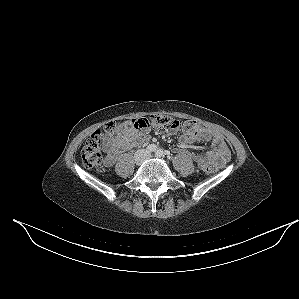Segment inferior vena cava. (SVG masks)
<instances>
[{
    "mask_svg": "<svg viewBox=\"0 0 299 299\" xmlns=\"http://www.w3.org/2000/svg\"><path fill=\"white\" fill-rule=\"evenodd\" d=\"M141 152H144V153H146V151L145 150H138L137 152H136V157L139 155V153H141ZM145 158H147V156H145L142 160H144Z\"/></svg>",
    "mask_w": 299,
    "mask_h": 299,
    "instance_id": "obj_1",
    "label": "inferior vena cava"
}]
</instances>
